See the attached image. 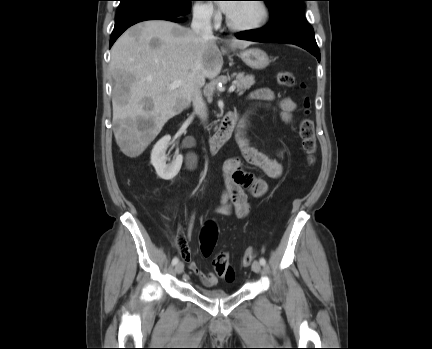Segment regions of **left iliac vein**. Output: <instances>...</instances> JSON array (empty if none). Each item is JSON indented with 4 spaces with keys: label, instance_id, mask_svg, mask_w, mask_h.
I'll return each mask as SVG.
<instances>
[{
    "label": "left iliac vein",
    "instance_id": "1",
    "mask_svg": "<svg viewBox=\"0 0 432 349\" xmlns=\"http://www.w3.org/2000/svg\"><path fill=\"white\" fill-rule=\"evenodd\" d=\"M252 270L255 273H259L261 271V264L258 261H254L252 264Z\"/></svg>",
    "mask_w": 432,
    "mask_h": 349
}]
</instances>
